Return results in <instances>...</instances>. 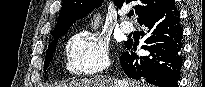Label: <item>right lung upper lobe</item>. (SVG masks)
<instances>
[{
  "instance_id": "obj_1",
  "label": "right lung upper lobe",
  "mask_w": 205,
  "mask_h": 87,
  "mask_svg": "<svg viewBox=\"0 0 205 87\" xmlns=\"http://www.w3.org/2000/svg\"><path fill=\"white\" fill-rule=\"evenodd\" d=\"M117 7L131 0H114ZM135 12L138 15V21L147 13L151 12L166 0H136ZM103 0H64L58 17V21L51 35L54 38L63 36L70 26L79 18L86 16L94 8L101 5ZM51 45V44H50ZM49 45V46H50Z\"/></svg>"
}]
</instances>
